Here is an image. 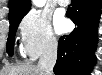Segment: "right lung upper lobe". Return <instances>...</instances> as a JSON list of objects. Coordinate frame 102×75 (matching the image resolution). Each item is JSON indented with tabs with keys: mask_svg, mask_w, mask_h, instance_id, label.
Wrapping results in <instances>:
<instances>
[{
	"mask_svg": "<svg viewBox=\"0 0 102 75\" xmlns=\"http://www.w3.org/2000/svg\"><path fill=\"white\" fill-rule=\"evenodd\" d=\"M30 7L29 0H9V17L28 12Z\"/></svg>",
	"mask_w": 102,
	"mask_h": 75,
	"instance_id": "right-lung-upper-lobe-1",
	"label": "right lung upper lobe"
}]
</instances>
